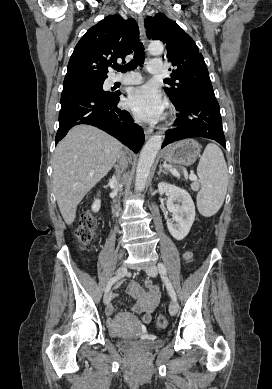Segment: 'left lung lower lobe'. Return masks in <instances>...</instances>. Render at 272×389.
<instances>
[{
    "mask_svg": "<svg viewBox=\"0 0 272 389\" xmlns=\"http://www.w3.org/2000/svg\"><path fill=\"white\" fill-rule=\"evenodd\" d=\"M174 106L180 112L175 120L177 127L166 133L162 148L191 137L209 138L226 148L220 107L213 89L190 93Z\"/></svg>",
    "mask_w": 272,
    "mask_h": 389,
    "instance_id": "left-lung-lower-lobe-1",
    "label": "left lung lower lobe"
}]
</instances>
